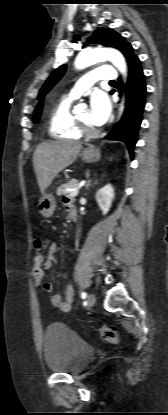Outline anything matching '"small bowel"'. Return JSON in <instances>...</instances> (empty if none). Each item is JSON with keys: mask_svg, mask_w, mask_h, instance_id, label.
I'll use <instances>...</instances> for the list:
<instances>
[{"mask_svg": "<svg viewBox=\"0 0 168 415\" xmlns=\"http://www.w3.org/2000/svg\"><path fill=\"white\" fill-rule=\"evenodd\" d=\"M64 203L66 205L68 212L70 208L74 207L72 202L67 198L64 199ZM56 252H57V244L55 242H51L48 246L47 253H46L45 270L50 269L53 263L56 261ZM42 289L45 293L49 294V299L52 305H54L60 311L68 312L72 309L73 301H74V288L72 285L66 286L64 298H62L60 294L52 293L53 284L51 282H44L42 284Z\"/></svg>", "mask_w": 168, "mask_h": 415, "instance_id": "c3829d8e", "label": "small bowel"}]
</instances>
